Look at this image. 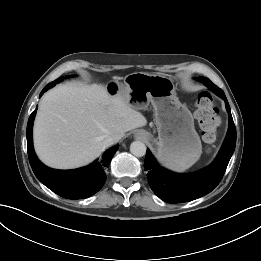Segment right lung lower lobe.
<instances>
[{"instance_id":"obj_1","label":"right lung lower lobe","mask_w":261,"mask_h":261,"mask_svg":"<svg viewBox=\"0 0 261 261\" xmlns=\"http://www.w3.org/2000/svg\"><path fill=\"white\" fill-rule=\"evenodd\" d=\"M60 81H53L44 87L41 95ZM37 108L32 112L27 124V147L30 165L36 177L54 193L67 199L88 198L98 192L106 181L105 170L118 149L115 145L108 149L99 160L86 167L74 170H56L45 166L37 158L32 140L33 120Z\"/></svg>"}]
</instances>
